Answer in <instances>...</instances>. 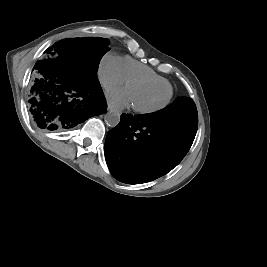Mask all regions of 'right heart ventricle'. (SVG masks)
Here are the masks:
<instances>
[{
  "label": "right heart ventricle",
  "instance_id": "e07e8e85",
  "mask_svg": "<svg viewBox=\"0 0 267 267\" xmlns=\"http://www.w3.org/2000/svg\"><path fill=\"white\" fill-rule=\"evenodd\" d=\"M121 67L125 80H128L131 77L141 76L152 78L167 85L170 84L166 78L159 75L152 68L130 57H124L121 59Z\"/></svg>",
  "mask_w": 267,
  "mask_h": 267
}]
</instances>
